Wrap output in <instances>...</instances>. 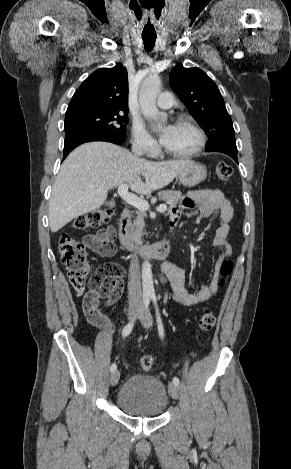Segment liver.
<instances>
[{"label":"liver","mask_w":291,"mask_h":469,"mask_svg":"<svg viewBox=\"0 0 291 469\" xmlns=\"http://www.w3.org/2000/svg\"><path fill=\"white\" fill-rule=\"evenodd\" d=\"M189 163L148 161L107 142L83 144L63 162L52 188L50 229L55 233L74 218L97 210L116 186L127 184L132 191L149 195L170 184Z\"/></svg>","instance_id":"obj_1"}]
</instances>
